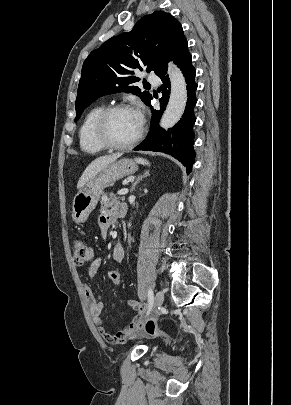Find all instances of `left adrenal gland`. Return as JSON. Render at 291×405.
<instances>
[{"mask_svg": "<svg viewBox=\"0 0 291 405\" xmlns=\"http://www.w3.org/2000/svg\"><path fill=\"white\" fill-rule=\"evenodd\" d=\"M150 176L149 170L145 171L144 174L139 175L136 179V181L133 183L132 188H131V193L135 190L136 185L145 177Z\"/></svg>", "mask_w": 291, "mask_h": 405, "instance_id": "left-adrenal-gland-1", "label": "left adrenal gland"}]
</instances>
